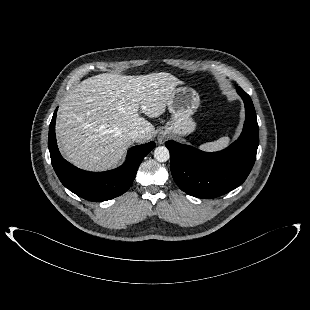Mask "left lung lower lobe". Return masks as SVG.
<instances>
[{
  "mask_svg": "<svg viewBox=\"0 0 310 310\" xmlns=\"http://www.w3.org/2000/svg\"><path fill=\"white\" fill-rule=\"evenodd\" d=\"M245 104L243 131L228 148L214 153L200 151L175 141L165 142L170 152L172 176L189 195L210 199L241 185L249 175L259 144V129L250 96L237 86Z\"/></svg>",
  "mask_w": 310,
  "mask_h": 310,
  "instance_id": "obj_1",
  "label": "left lung lower lobe"
}]
</instances>
